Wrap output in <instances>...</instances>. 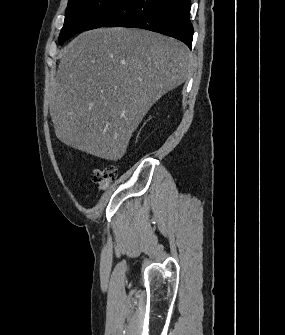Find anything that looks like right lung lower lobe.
<instances>
[{
    "label": "right lung lower lobe",
    "mask_w": 285,
    "mask_h": 335,
    "mask_svg": "<svg viewBox=\"0 0 285 335\" xmlns=\"http://www.w3.org/2000/svg\"><path fill=\"white\" fill-rule=\"evenodd\" d=\"M191 0H116L83 30L131 27L158 32L192 46Z\"/></svg>",
    "instance_id": "obj_1"
}]
</instances>
